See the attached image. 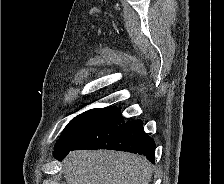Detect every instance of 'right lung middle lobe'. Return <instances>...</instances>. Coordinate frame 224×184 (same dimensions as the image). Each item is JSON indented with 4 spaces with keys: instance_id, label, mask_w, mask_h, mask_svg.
I'll return each mask as SVG.
<instances>
[{
    "instance_id": "1",
    "label": "right lung middle lobe",
    "mask_w": 224,
    "mask_h": 184,
    "mask_svg": "<svg viewBox=\"0 0 224 184\" xmlns=\"http://www.w3.org/2000/svg\"><path fill=\"white\" fill-rule=\"evenodd\" d=\"M116 108V106H112L103 109H92L75 117L63 130L55 148L72 143L85 132L104 121Z\"/></svg>"
}]
</instances>
